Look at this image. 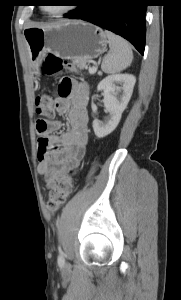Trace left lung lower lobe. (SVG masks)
I'll return each mask as SVG.
<instances>
[{
  "label": "left lung lower lobe",
  "mask_w": 181,
  "mask_h": 300,
  "mask_svg": "<svg viewBox=\"0 0 181 300\" xmlns=\"http://www.w3.org/2000/svg\"><path fill=\"white\" fill-rule=\"evenodd\" d=\"M71 19H83L110 30L125 39L143 55L145 49V0H81Z\"/></svg>",
  "instance_id": "obj_1"
}]
</instances>
